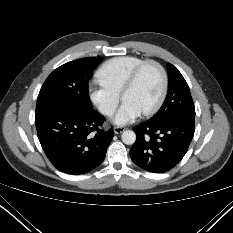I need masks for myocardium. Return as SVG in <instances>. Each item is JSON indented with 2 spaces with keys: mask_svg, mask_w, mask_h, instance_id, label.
Returning a JSON list of instances; mask_svg holds the SVG:
<instances>
[{
  "mask_svg": "<svg viewBox=\"0 0 233 233\" xmlns=\"http://www.w3.org/2000/svg\"><path fill=\"white\" fill-rule=\"evenodd\" d=\"M148 65H153L156 68H158V70L160 71V74L162 77V88H161V93L159 95V98H158L157 102L154 104V106H152L150 109L142 112V115H144V116H151V115L157 113L160 110V108L162 107V105L166 99L168 87H169V79H168L167 71L164 68V66L155 60H151V59L144 60L143 62H141L139 65H137L134 68V70L129 75L127 81L125 82V84L121 90V98L123 99L124 94L128 90H130L131 88H133L135 86V84L137 83V81L139 79L140 74L142 73L144 68L147 67Z\"/></svg>",
  "mask_w": 233,
  "mask_h": 233,
  "instance_id": "f54148a6",
  "label": "myocardium"
}]
</instances>
